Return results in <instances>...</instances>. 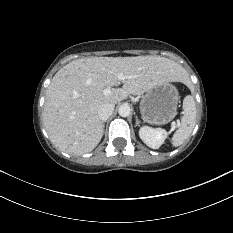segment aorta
I'll use <instances>...</instances> for the list:
<instances>
[{"label":"aorta","instance_id":"obj_1","mask_svg":"<svg viewBox=\"0 0 233 233\" xmlns=\"http://www.w3.org/2000/svg\"><path fill=\"white\" fill-rule=\"evenodd\" d=\"M118 113L121 117H128L131 113L130 106L128 104H123L119 107Z\"/></svg>","mask_w":233,"mask_h":233}]
</instances>
